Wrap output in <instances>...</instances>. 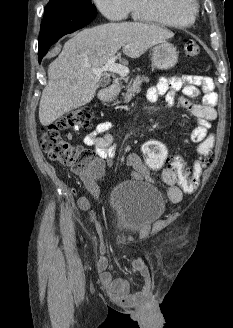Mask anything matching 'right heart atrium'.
Here are the masks:
<instances>
[{"label": "right heart atrium", "mask_w": 233, "mask_h": 328, "mask_svg": "<svg viewBox=\"0 0 233 328\" xmlns=\"http://www.w3.org/2000/svg\"><path fill=\"white\" fill-rule=\"evenodd\" d=\"M131 0H93L97 9L113 21L125 19L130 13Z\"/></svg>", "instance_id": "d8ad5b80"}]
</instances>
